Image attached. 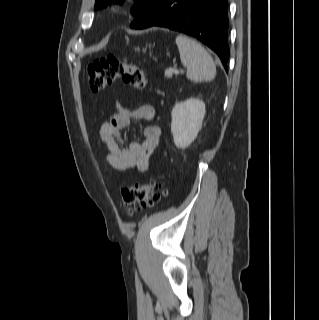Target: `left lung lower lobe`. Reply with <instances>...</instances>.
Masks as SVG:
<instances>
[{
    "label": "left lung lower lobe",
    "mask_w": 319,
    "mask_h": 320,
    "mask_svg": "<svg viewBox=\"0 0 319 320\" xmlns=\"http://www.w3.org/2000/svg\"><path fill=\"white\" fill-rule=\"evenodd\" d=\"M227 13V0H159L130 27L159 26L189 34L212 49L227 70Z\"/></svg>",
    "instance_id": "left-lung-lower-lobe-1"
}]
</instances>
